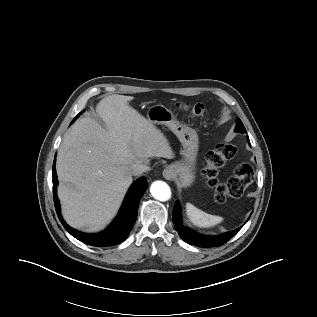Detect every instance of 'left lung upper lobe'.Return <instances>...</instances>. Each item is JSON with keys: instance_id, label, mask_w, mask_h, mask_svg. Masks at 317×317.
Returning a JSON list of instances; mask_svg holds the SVG:
<instances>
[{"instance_id": "5c2ea615", "label": "left lung upper lobe", "mask_w": 317, "mask_h": 317, "mask_svg": "<svg viewBox=\"0 0 317 317\" xmlns=\"http://www.w3.org/2000/svg\"><path fill=\"white\" fill-rule=\"evenodd\" d=\"M236 131L240 132V133H245L246 132V129H245V127H244V125H243V123L241 122L240 119L237 120Z\"/></svg>"}]
</instances>
